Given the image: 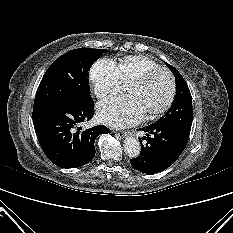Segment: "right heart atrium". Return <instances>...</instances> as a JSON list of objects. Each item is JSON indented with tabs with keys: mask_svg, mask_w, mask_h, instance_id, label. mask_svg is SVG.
<instances>
[{
	"mask_svg": "<svg viewBox=\"0 0 233 233\" xmlns=\"http://www.w3.org/2000/svg\"><path fill=\"white\" fill-rule=\"evenodd\" d=\"M90 80L96 96L100 99L116 94L122 86V79L114 62L99 59L91 67Z\"/></svg>",
	"mask_w": 233,
	"mask_h": 233,
	"instance_id": "1",
	"label": "right heart atrium"
}]
</instances>
